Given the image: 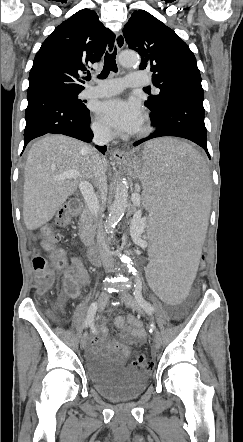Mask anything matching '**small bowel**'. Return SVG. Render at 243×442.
Returning a JSON list of instances; mask_svg holds the SVG:
<instances>
[{
  "mask_svg": "<svg viewBox=\"0 0 243 442\" xmlns=\"http://www.w3.org/2000/svg\"><path fill=\"white\" fill-rule=\"evenodd\" d=\"M88 282L89 274L82 261L79 257H73L71 265L62 279V299L79 298L81 296L80 287ZM114 324L118 329L126 331L130 335L132 343H141L146 338L142 322L134 315H129L127 317L118 316L115 318ZM107 336L108 330L106 320H100L98 324V336L94 342L102 344L110 351L118 352L121 358L125 359L130 353L129 347L117 340L108 339Z\"/></svg>",
  "mask_w": 243,
  "mask_h": 442,
  "instance_id": "c3829d8e",
  "label": "small bowel"
}]
</instances>
